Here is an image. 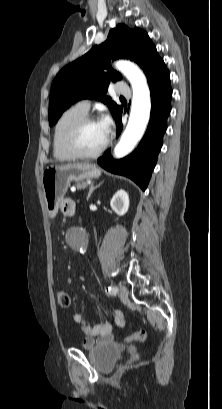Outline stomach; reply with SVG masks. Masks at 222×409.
I'll list each match as a JSON object with an SVG mask.
<instances>
[{
    "instance_id": "obj_1",
    "label": "stomach",
    "mask_w": 222,
    "mask_h": 409,
    "mask_svg": "<svg viewBox=\"0 0 222 409\" xmlns=\"http://www.w3.org/2000/svg\"><path fill=\"white\" fill-rule=\"evenodd\" d=\"M100 170L89 163H73L47 167L42 173V188L47 213L54 218L71 181L96 178Z\"/></svg>"
}]
</instances>
